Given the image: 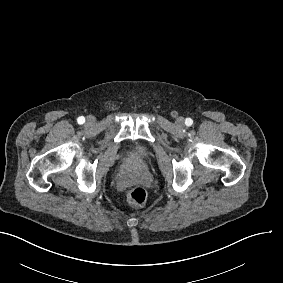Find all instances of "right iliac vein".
I'll list each match as a JSON object with an SVG mask.
<instances>
[{
  "mask_svg": "<svg viewBox=\"0 0 283 283\" xmlns=\"http://www.w3.org/2000/svg\"><path fill=\"white\" fill-rule=\"evenodd\" d=\"M86 123L91 125V124H94L95 123V118L92 117V116H89L86 120Z\"/></svg>",
  "mask_w": 283,
  "mask_h": 283,
  "instance_id": "obj_1",
  "label": "right iliac vein"
}]
</instances>
